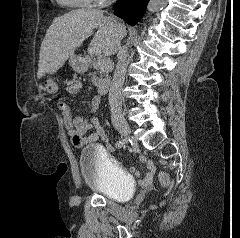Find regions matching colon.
<instances>
[{
    "label": "colon",
    "instance_id": "5ec220e1",
    "mask_svg": "<svg viewBox=\"0 0 240 238\" xmlns=\"http://www.w3.org/2000/svg\"><path fill=\"white\" fill-rule=\"evenodd\" d=\"M44 90L49 94H57L58 86L57 83L53 79H46L43 83ZM78 141V138H76ZM161 180L163 183H167V177L165 175L161 176Z\"/></svg>",
    "mask_w": 240,
    "mask_h": 238
}]
</instances>
